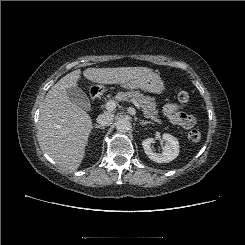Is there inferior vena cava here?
<instances>
[{"label": "inferior vena cava", "mask_w": 245, "mask_h": 245, "mask_svg": "<svg viewBox=\"0 0 245 245\" xmlns=\"http://www.w3.org/2000/svg\"><path fill=\"white\" fill-rule=\"evenodd\" d=\"M113 120H114V115L109 112L100 114L97 117V123H99L101 126H109L112 124Z\"/></svg>", "instance_id": "1"}]
</instances>
